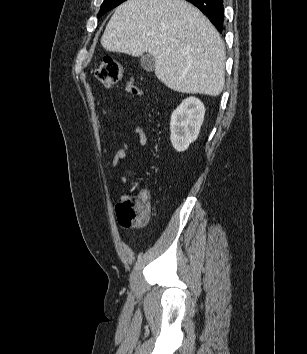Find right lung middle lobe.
Listing matches in <instances>:
<instances>
[{"label": "right lung middle lobe", "instance_id": "right-lung-middle-lobe-1", "mask_svg": "<svg viewBox=\"0 0 307 354\" xmlns=\"http://www.w3.org/2000/svg\"><path fill=\"white\" fill-rule=\"evenodd\" d=\"M124 1L126 0H104L101 5L100 12L98 14V18L101 17L107 11L111 10L112 8L120 5Z\"/></svg>", "mask_w": 307, "mask_h": 354}]
</instances>
